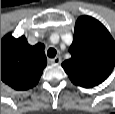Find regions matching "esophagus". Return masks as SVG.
Masks as SVG:
<instances>
[{"instance_id": "1", "label": "esophagus", "mask_w": 115, "mask_h": 114, "mask_svg": "<svg viewBox=\"0 0 115 114\" xmlns=\"http://www.w3.org/2000/svg\"><path fill=\"white\" fill-rule=\"evenodd\" d=\"M50 62L53 64H60L62 62L61 57L57 56L53 59H50Z\"/></svg>"}]
</instances>
